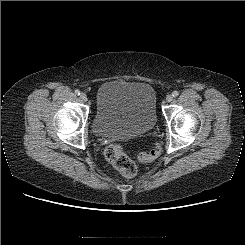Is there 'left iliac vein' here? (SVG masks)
I'll use <instances>...</instances> for the list:
<instances>
[{
  "label": "left iliac vein",
  "mask_w": 245,
  "mask_h": 245,
  "mask_svg": "<svg viewBox=\"0 0 245 245\" xmlns=\"http://www.w3.org/2000/svg\"><path fill=\"white\" fill-rule=\"evenodd\" d=\"M173 100V97H172V95H167L166 96V101L169 103V102H171Z\"/></svg>",
  "instance_id": "4c4485c4"
}]
</instances>
